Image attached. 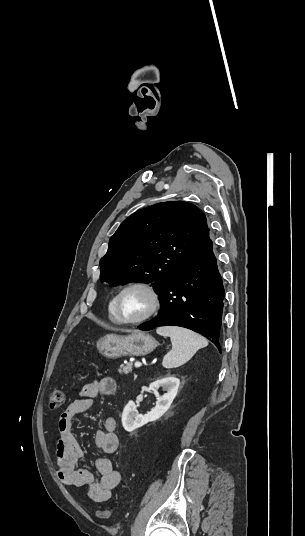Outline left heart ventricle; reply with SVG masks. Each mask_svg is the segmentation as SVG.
I'll list each match as a JSON object with an SVG mask.
<instances>
[{
	"label": "left heart ventricle",
	"mask_w": 305,
	"mask_h": 536,
	"mask_svg": "<svg viewBox=\"0 0 305 536\" xmlns=\"http://www.w3.org/2000/svg\"><path fill=\"white\" fill-rule=\"evenodd\" d=\"M151 306L149 294L142 288L126 290L120 300V315L125 320H135L144 316Z\"/></svg>",
	"instance_id": "left-heart-ventricle-1"
}]
</instances>
